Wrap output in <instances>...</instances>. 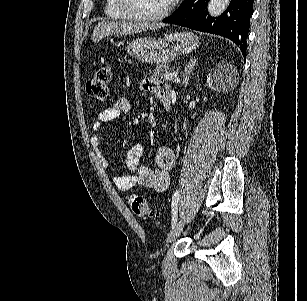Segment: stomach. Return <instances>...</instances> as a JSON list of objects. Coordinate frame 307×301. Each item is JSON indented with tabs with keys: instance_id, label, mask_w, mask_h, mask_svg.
Wrapping results in <instances>:
<instances>
[{
	"instance_id": "1",
	"label": "stomach",
	"mask_w": 307,
	"mask_h": 301,
	"mask_svg": "<svg viewBox=\"0 0 307 301\" xmlns=\"http://www.w3.org/2000/svg\"><path fill=\"white\" fill-rule=\"evenodd\" d=\"M197 46L199 42L193 32H169V34H164L163 38L138 36L128 42L126 48L128 54L140 62L168 64L179 54L191 52Z\"/></svg>"
}]
</instances>
